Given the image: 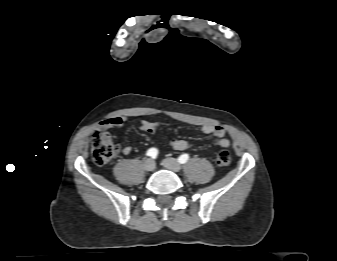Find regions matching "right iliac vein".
Listing matches in <instances>:
<instances>
[{"label":"right iliac vein","instance_id":"right-iliac-vein-1","mask_svg":"<svg viewBox=\"0 0 337 261\" xmlns=\"http://www.w3.org/2000/svg\"><path fill=\"white\" fill-rule=\"evenodd\" d=\"M155 162L152 159H148L144 163V168L147 171H153L155 169Z\"/></svg>","mask_w":337,"mask_h":261}]
</instances>
